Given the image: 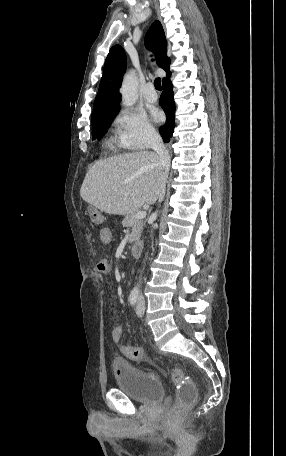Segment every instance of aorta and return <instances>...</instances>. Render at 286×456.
Wrapping results in <instances>:
<instances>
[{
    "instance_id": "762f6f07",
    "label": "aorta",
    "mask_w": 286,
    "mask_h": 456,
    "mask_svg": "<svg viewBox=\"0 0 286 456\" xmlns=\"http://www.w3.org/2000/svg\"><path fill=\"white\" fill-rule=\"evenodd\" d=\"M138 80L134 71H130L124 76L120 93L122 102L125 106L131 107L135 104L137 95Z\"/></svg>"
}]
</instances>
